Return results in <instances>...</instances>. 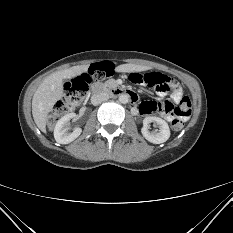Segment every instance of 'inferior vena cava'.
<instances>
[{"label": "inferior vena cava", "instance_id": "inferior-vena-cava-1", "mask_svg": "<svg viewBox=\"0 0 233 233\" xmlns=\"http://www.w3.org/2000/svg\"><path fill=\"white\" fill-rule=\"evenodd\" d=\"M108 99H109V94L107 92H101V93L92 95L91 103L93 105H98Z\"/></svg>", "mask_w": 233, "mask_h": 233}]
</instances>
